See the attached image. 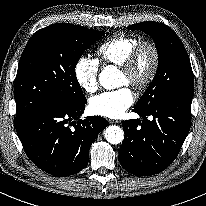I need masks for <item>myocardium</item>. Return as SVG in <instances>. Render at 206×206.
Masks as SVG:
<instances>
[{
    "instance_id": "obj_1",
    "label": "myocardium",
    "mask_w": 206,
    "mask_h": 206,
    "mask_svg": "<svg viewBox=\"0 0 206 206\" xmlns=\"http://www.w3.org/2000/svg\"><path fill=\"white\" fill-rule=\"evenodd\" d=\"M149 49L151 52L152 60L149 72L140 81L134 80V72L143 49ZM160 64V51L157 44L149 39L140 40L130 51L124 64L120 67L122 74L128 78V85L135 91L145 90L154 80Z\"/></svg>"
}]
</instances>
